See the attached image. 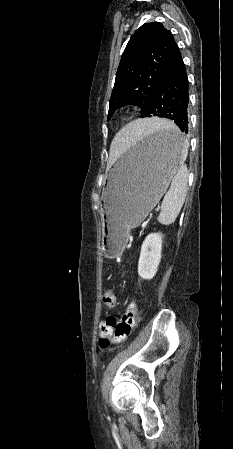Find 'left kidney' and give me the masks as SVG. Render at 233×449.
Returning <instances> with one entry per match:
<instances>
[{
    "label": "left kidney",
    "mask_w": 233,
    "mask_h": 449,
    "mask_svg": "<svg viewBox=\"0 0 233 449\" xmlns=\"http://www.w3.org/2000/svg\"><path fill=\"white\" fill-rule=\"evenodd\" d=\"M162 234L151 233L146 236L140 252L138 274L142 279H152L158 270L162 253Z\"/></svg>",
    "instance_id": "1"
}]
</instances>
